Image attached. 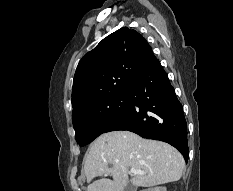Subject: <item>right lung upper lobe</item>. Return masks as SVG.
Returning a JSON list of instances; mask_svg holds the SVG:
<instances>
[{"label":"right lung upper lobe","mask_w":233,"mask_h":191,"mask_svg":"<svg viewBox=\"0 0 233 191\" xmlns=\"http://www.w3.org/2000/svg\"><path fill=\"white\" fill-rule=\"evenodd\" d=\"M137 31L123 27L80 60L72 87V116L108 99L127 95L153 56Z\"/></svg>","instance_id":"cb5924a9"}]
</instances>
